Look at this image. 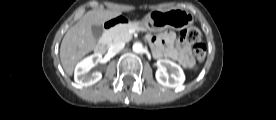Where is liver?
Returning a JSON list of instances; mask_svg holds the SVG:
<instances>
[{
  "label": "liver",
  "mask_w": 276,
  "mask_h": 120,
  "mask_svg": "<svg viewBox=\"0 0 276 120\" xmlns=\"http://www.w3.org/2000/svg\"><path fill=\"white\" fill-rule=\"evenodd\" d=\"M121 11L91 10L85 13L65 34L60 46V59L64 71L73 74L77 62L96 46L92 33L93 25L105 22L121 15Z\"/></svg>",
  "instance_id": "1"
}]
</instances>
